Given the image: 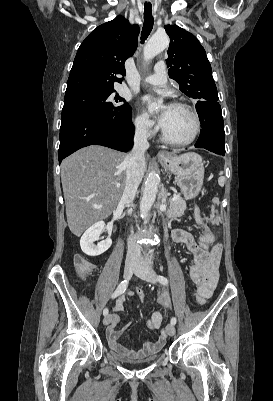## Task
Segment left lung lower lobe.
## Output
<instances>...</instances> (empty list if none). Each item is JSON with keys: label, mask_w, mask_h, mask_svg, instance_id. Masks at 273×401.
<instances>
[{"label": "left lung lower lobe", "mask_w": 273, "mask_h": 401, "mask_svg": "<svg viewBox=\"0 0 273 401\" xmlns=\"http://www.w3.org/2000/svg\"><path fill=\"white\" fill-rule=\"evenodd\" d=\"M196 110L202 125L196 148H205L216 154H225L224 121L217 101H198Z\"/></svg>", "instance_id": "obj_1"}]
</instances>
